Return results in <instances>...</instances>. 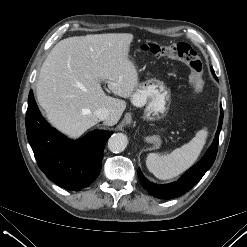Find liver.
<instances>
[{
	"label": "liver",
	"mask_w": 247,
	"mask_h": 247,
	"mask_svg": "<svg viewBox=\"0 0 247 247\" xmlns=\"http://www.w3.org/2000/svg\"><path fill=\"white\" fill-rule=\"evenodd\" d=\"M133 38L130 33L90 34L54 46L36 85L37 100L52 126L77 138L98 123L99 108L109 110L106 125L119 121L126 102L107 96L101 83H107L116 96H132L139 84L137 69L128 57Z\"/></svg>",
	"instance_id": "1"
}]
</instances>
